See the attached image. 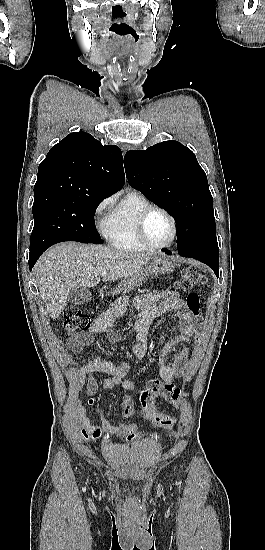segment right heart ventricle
Segmentation results:
<instances>
[{
	"label": "right heart ventricle",
	"instance_id": "e07e8e85",
	"mask_svg": "<svg viewBox=\"0 0 265 550\" xmlns=\"http://www.w3.org/2000/svg\"><path fill=\"white\" fill-rule=\"evenodd\" d=\"M150 201L137 191H128L113 207L103 224L108 243L121 252H142L147 248L141 243L136 222Z\"/></svg>",
	"mask_w": 265,
	"mask_h": 550
}]
</instances>
